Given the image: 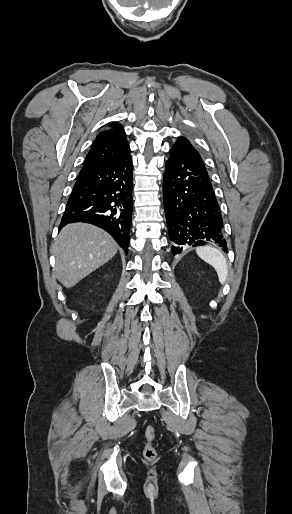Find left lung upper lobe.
Segmentation results:
<instances>
[{
  "label": "left lung upper lobe",
  "instance_id": "5c2ea615",
  "mask_svg": "<svg viewBox=\"0 0 292 514\" xmlns=\"http://www.w3.org/2000/svg\"><path fill=\"white\" fill-rule=\"evenodd\" d=\"M178 140H188L185 137H180Z\"/></svg>",
  "mask_w": 292,
  "mask_h": 514
}]
</instances>
